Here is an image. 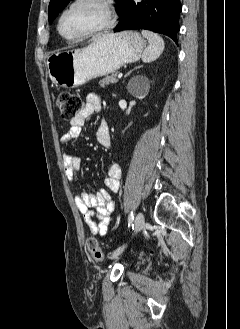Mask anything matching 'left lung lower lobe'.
Returning <instances> with one entry per match:
<instances>
[{"label": "left lung lower lobe", "mask_w": 240, "mask_h": 329, "mask_svg": "<svg viewBox=\"0 0 240 329\" xmlns=\"http://www.w3.org/2000/svg\"><path fill=\"white\" fill-rule=\"evenodd\" d=\"M181 11L180 0H126L114 32L147 29L165 34L177 43Z\"/></svg>", "instance_id": "obj_1"}]
</instances>
